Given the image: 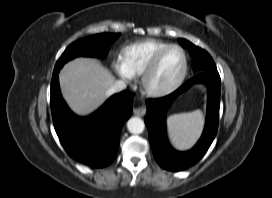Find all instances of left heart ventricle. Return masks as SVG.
Listing matches in <instances>:
<instances>
[{
  "label": "left heart ventricle",
  "mask_w": 272,
  "mask_h": 198,
  "mask_svg": "<svg viewBox=\"0 0 272 198\" xmlns=\"http://www.w3.org/2000/svg\"><path fill=\"white\" fill-rule=\"evenodd\" d=\"M183 64L184 58L180 50L172 49L167 52L152 79V85L164 87L171 84L182 72Z\"/></svg>",
  "instance_id": "b2bd125f"
}]
</instances>
